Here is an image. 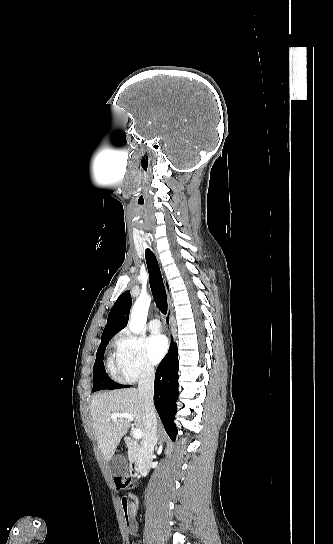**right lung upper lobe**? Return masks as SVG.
Here are the masks:
<instances>
[{
  "label": "right lung upper lobe",
  "instance_id": "right-lung-upper-lobe-1",
  "mask_svg": "<svg viewBox=\"0 0 333 544\" xmlns=\"http://www.w3.org/2000/svg\"><path fill=\"white\" fill-rule=\"evenodd\" d=\"M131 302L130 291H126L119 296L109 313L101 340L111 338L127 325Z\"/></svg>",
  "mask_w": 333,
  "mask_h": 544
}]
</instances>
